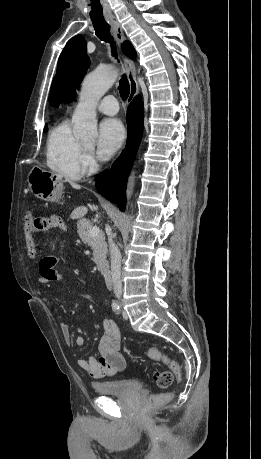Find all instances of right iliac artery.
Returning a JSON list of instances; mask_svg holds the SVG:
<instances>
[{
    "label": "right iliac artery",
    "mask_w": 261,
    "mask_h": 459,
    "mask_svg": "<svg viewBox=\"0 0 261 459\" xmlns=\"http://www.w3.org/2000/svg\"><path fill=\"white\" fill-rule=\"evenodd\" d=\"M112 309L116 314L120 313V304L117 301H113Z\"/></svg>",
    "instance_id": "82829eb1"
}]
</instances>
